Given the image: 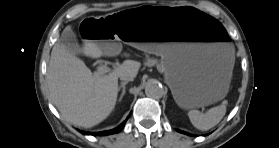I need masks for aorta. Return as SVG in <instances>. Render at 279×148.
<instances>
[{
  "label": "aorta",
  "instance_id": "aorta-1",
  "mask_svg": "<svg viewBox=\"0 0 279 148\" xmlns=\"http://www.w3.org/2000/svg\"><path fill=\"white\" fill-rule=\"evenodd\" d=\"M145 94L147 97L158 99L164 95V88L158 83L148 82L145 86Z\"/></svg>",
  "mask_w": 279,
  "mask_h": 148
}]
</instances>
